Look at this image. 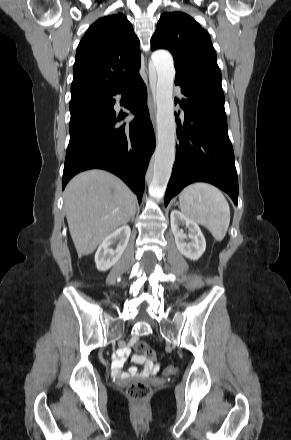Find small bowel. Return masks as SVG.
Masks as SVG:
<instances>
[{
  "label": "small bowel",
  "instance_id": "1",
  "mask_svg": "<svg viewBox=\"0 0 291 440\" xmlns=\"http://www.w3.org/2000/svg\"><path fill=\"white\" fill-rule=\"evenodd\" d=\"M135 342V339H132L131 344ZM131 349L129 346H125L119 349V356L113 360L112 363V373L115 377L120 379H126L129 376L132 377H140V378H147V377H153L155 376L159 371V365L149 361L145 360V358H139L133 360L135 363L142 364V369L138 370L135 367H130L126 372L122 370L126 356L130 353ZM173 369H178L177 365L173 366Z\"/></svg>",
  "mask_w": 291,
  "mask_h": 440
}]
</instances>
